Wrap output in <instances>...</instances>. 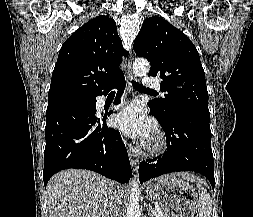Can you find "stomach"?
<instances>
[{"label": "stomach", "instance_id": "0dacf381", "mask_svg": "<svg viewBox=\"0 0 253 217\" xmlns=\"http://www.w3.org/2000/svg\"><path fill=\"white\" fill-rule=\"evenodd\" d=\"M151 199L157 200L169 217H194L199 199L194 188L175 174L157 179L147 186Z\"/></svg>", "mask_w": 253, "mask_h": 217}]
</instances>
